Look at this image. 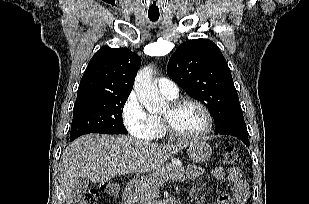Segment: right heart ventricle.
Masks as SVG:
<instances>
[{"mask_svg": "<svg viewBox=\"0 0 309 204\" xmlns=\"http://www.w3.org/2000/svg\"><path fill=\"white\" fill-rule=\"evenodd\" d=\"M169 99H174V98H169ZM151 119L153 123L155 124V128H156V133L153 139H158V138L163 137L165 135V132L163 130L160 118L158 116L151 115Z\"/></svg>", "mask_w": 309, "mask_h": 204, "instance_id": "obj_1", "label": "right heart ventricle"}]
</instances>
